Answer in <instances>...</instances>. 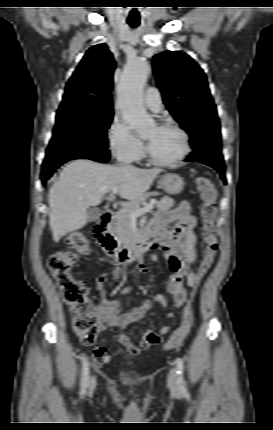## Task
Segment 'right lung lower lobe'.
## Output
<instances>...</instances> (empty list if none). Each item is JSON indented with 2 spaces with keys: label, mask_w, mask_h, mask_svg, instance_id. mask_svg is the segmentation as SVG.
<instances>
[{
  "label": "right lung lower lobe",
  "mask_w": 273,
  "mask_h": 430,
  "mask_svg": "<svg viewBox=\"0 0 273 430\" xmlns=\"http://www.w3.org/2000/svg\"><path fill=\"white\" fill-rule=\"evenodd\" d=\"M110 158V154L109 153H99V154H88V155H82V156H77V157H73V158H68L65 160H61L58 161L54 164H51L49 166H43L42 168V174H41V179L42 182L45 183L47 179H49L51 177V175L53 174V172L63 163L69 161V160H73V159H91L97 162H101V163H105L109 160Z\"/></svg>",
  "instance_id": "right-lung-lower-lobe-1"
}]
</instances>
